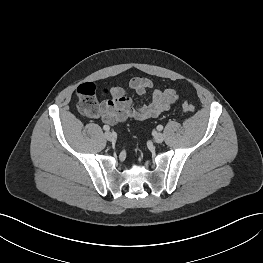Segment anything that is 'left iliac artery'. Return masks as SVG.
I'll return each instance as SVG.
<instances>
[{"instance_id": "obj_1", "label": "left iliac artery", "mask_w": 263, "mask_h": 263, "mask_svg": "<svg viewBox=\"0 0 263 263\" xmlns=\"http://www.w3.org/2000/svg\"><path fill=\"white\" fill-rule=\"evenodd\" d=\"M163 129V126L162 125H158L157 126V130L161 131Z\"/></svg>"}]
</instances>
